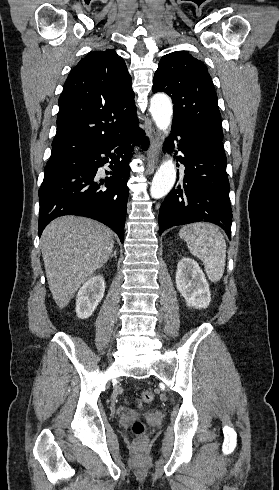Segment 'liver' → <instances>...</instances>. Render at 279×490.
I'll return each mask as SVG.
<instances>
[{"label": "liver", "instance_id": "1", "mask_svg": "<svg viewBox=\"0 0 279 490\" xmlns=\"http://www.w3.org/2000/svg\"><path fill=\"white\" fill-rule=\"evenodd\" d=\"M114 236L103 224L77 216H62L46 226L41 252L49 290L60 310L108 262Z\"/></svg>", "mask_w": 279, "mask_h": 490}]
</instances>
